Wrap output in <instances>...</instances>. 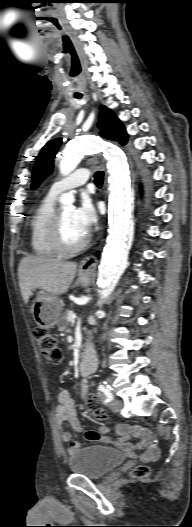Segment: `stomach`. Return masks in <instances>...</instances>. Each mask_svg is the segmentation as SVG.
I'll list each match as a JSON object with an SVG mask.
<instances>
[{"label": "stomach", "mask_w": 192, "mask_h": 527, "mask_svg": "<svg viewBox=\"0 0 192 527\" xmlns=\"http://www.w3.org/2000/svg\"><path fill=\"white\" fill-rule=\"evenodd\" d=\"M92 277V273L80 271L78 282L83 286H88ZM61 311V299L44 290L37 293L31 309L35 323L42 329L53 328L59 320Z\"/></svg>", "instance_id": "stomach-1"}]
</instances>
